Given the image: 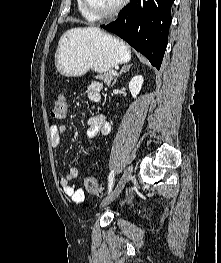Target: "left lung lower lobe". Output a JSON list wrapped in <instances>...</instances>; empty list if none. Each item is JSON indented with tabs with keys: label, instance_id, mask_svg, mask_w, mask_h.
I'll return each instance as SVG.
<instances>
[{
	"label": "left lung lower lobe",
	"instance_id": "obj_1",
	"mask_svg": "<svg viewBox=\"0 0 221 263\" xmlns=\"http://www.w3.org/2000/svg\"><path fill=\"white\" fill-rule=\"evenodd\" d=\"M173 2L131 0L121 10L117 20L101 27L124 39L160 69L168 41Z\"/></svg>",
	"mask_w": 221,
	"mask_h": 263
}]
</instances>
